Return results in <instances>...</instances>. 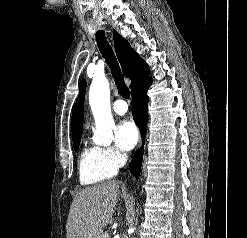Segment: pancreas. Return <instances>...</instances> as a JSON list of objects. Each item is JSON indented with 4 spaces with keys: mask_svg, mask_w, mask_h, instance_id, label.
<instances>
[{
    "mask_svg": "<svg viewBox=\"0 0 247 238\" xmlns=\"http://www.w3.org/2000/svg\"><path fill=\"white\" fill-rule=\"evenodd\" d=\"M100 238H110V235H109V233L105 232V233H103V234L101 235Z\"/></svg>",
    "mask_w": 247,
    "mask_h": 238,
    "instance_id": "1",
    "label": "pancreas"
}]
</instances>
